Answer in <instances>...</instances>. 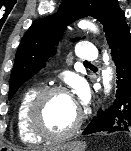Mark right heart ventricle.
I'll return each mask as SVG.
<instances>
[{"instance_id": "obj_1", "label": "right heart ventricle", "mask_w": 131, "mask_h": 151, "mask_svg": "<svg viewBox=\"0 0 131 151\" xmlns=\"http://www.w3.org/2000/svg\"><path fill=\"white\" fill-rule=\"evenodd\" d=\"M39 91L40 88L36 86L26 89L17 104L15 117L16 129L20 140L25 144H38L42 140L32 133L28 125V111L33 99Z\"/></svg>"}]
</instances>
